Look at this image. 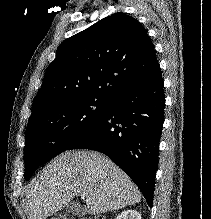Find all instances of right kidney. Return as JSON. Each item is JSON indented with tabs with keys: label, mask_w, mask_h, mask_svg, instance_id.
Instances as JSON below:
<instances>
[{
	"label": "right kidney",
	"mask_w": 211,
	"mask_h": 219,
	"mask_svg": "<svg viewBox=\"0 0 211 219\" xmlns=\"http://www.w3.org/2000/svg\"><path fill=\"white\" fill-rule=\"evenodd\" d=\"M115 219H141V214L136 210L128 209L121 212Z\"/></svg>",
	"instance_id": "obj_1"
}]
</instances>
